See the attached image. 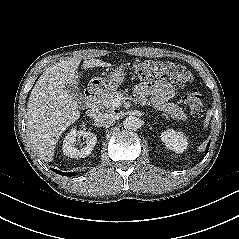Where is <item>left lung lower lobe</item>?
Listing matches in <instances>:
<instances>
[{
  "label": "left lung lower lobe",
  "mask_w": 239,
  "mask_h": 239,
  "mask_svg": "<svg viewBox=\"0 0 239 239\" xmlns=\"http://www.w3.org/2000/svg\"><path fill=\"white\" fill-rule=\"evenodd\" d=\"M209 146H210V142H209V144H208V146H207V151H206V152H208V148H209Z\"/></svg>",
  "instance_id": "left-lung-lower-lobe-1"
}]
</instances>
